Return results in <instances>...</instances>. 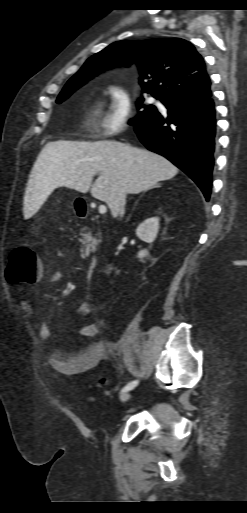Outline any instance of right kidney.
I'll return each instance as SVG.
<instances>
[{
    "label": "right kidney",
    "instance_id": "right-kidney-1",
    "mask_svg": "<svg viewBox=\"0 0 247 513\" xmlns=\"http://www.w3.org/2000/svg\"><path fill=\"white\" fill-rule=\"evenodd\" d=\"M158 229H159V218L158 217L148 218L137 227L136 235L142 241H144L146 243H152L157 236ZM147 254H148L147 250H142L139 252L138 257L142 258V257H145Z\"/></svg>",
    "mask_w": 247,
    "mask_h": 513
}]
</instances>
